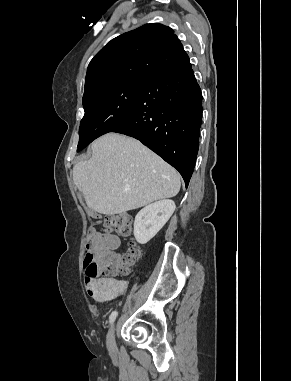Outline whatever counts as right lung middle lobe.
Listing matches in <instances>:
<instances>
[{"label": "right lung middle lobe", "mask_w": 291, "mask_h": 381, "mask_svg": "<svg viewBox=\"0 0 291 381\" xmlns=\"http://www.w3.org/2000/svg\"><path fill=\"white\" fill-rule=\"evenodd\" d=\"M144 82L122 83L100 90L83 100L85 114L79 128L77 152L131 118Z\"/></svg>", "instance_id": "obj_1"}]
</instances>
